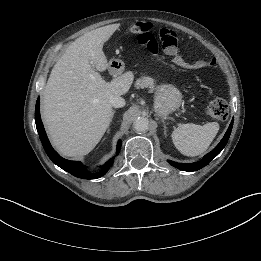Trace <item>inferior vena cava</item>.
<instances>
[{"label": "inferior vena cava", "mask_w": 261, "mask_h": 261, "mask_svg": "<svg viewBox=\"0 0 261 261\" xmlns=\"http://www.w3.org/2000/svg\"><path fill=\"white\" fill-rule=\"evenodd\" d=\"M109 102L115 108L123 107L125 105V100L120 96H111Z\"/></svg>", "instance_id": "obj_1"}]
</instances>
